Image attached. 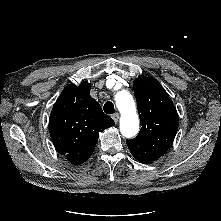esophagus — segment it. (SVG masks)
<instances>
[{"label":"esophagus","instance_id":"esophagus-1","mask_svg":"<svg viewBox=\"0 0 221 221\" xmlns=\"http://www.w3.org/2000/svg\"><path fill=\"white\" fill-rule=\"evenodd\" d=\"M119 117H120V116H119V114H118V113H115V114H113V115H112V118H113V120H114V122H115V123H117V122H118Z\"/></svg>","mask_w":221,"mask_h":221}]
</instances>
